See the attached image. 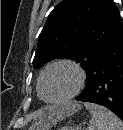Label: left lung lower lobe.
<instances>
[{
    "label": "left lung lower lobe",
    "mask_w": 123,
    "mask_h": 130,
    "mask_svg": "<svg viewBox=\"0 0 123 130\" xmlns=\"http://www.w3.org/2000/svg\"><path fill=\"white\" fill-rule=\"evenodd\" d=\"M77 100L102 105L123 120V27L94 60Z\"/></svg>",
    "instance_id": "left-lung-lower-lobe-1"
}]
</instances>
